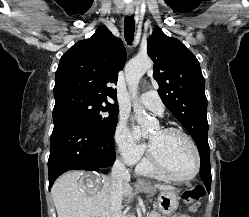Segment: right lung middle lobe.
Masks as SVG:
<instances>
[{
  "label": "right lung middle lobe",
  "mask_w": 249,
  "mask_h": 217,
  "mask_svg": "<svg viewBox=\"0 0 249 217\" xmlns=\"http://www.w3.org/2000/svg\"><path fill=\"white\" fill-rule=\"evenodd\" d=\"M54 110H66L74 114L91 130L113 137L118 120L117 105L79 92L55 95Z\"/></svg>",
  "instance_id": "1"
}]
</instances>
